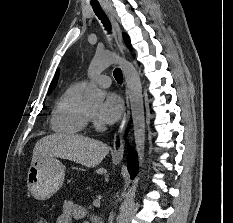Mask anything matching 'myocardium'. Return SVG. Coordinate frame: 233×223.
<instances>
[{"label": "myocardium", "mask_w": 233, "mask_h": 223, "mask_svg": "<svg viewBox=\"0 0 233 223\" xmlns=\"http://www.w3.org/2000/svg\"><path fill=\"white\" fill-rule=\"evenodd\" d=\"M86 116H87L88 120H91L93 118L94 114L89 109H87Z\"/></svg>", "instance_id": "obj_1"}]
</instances>
